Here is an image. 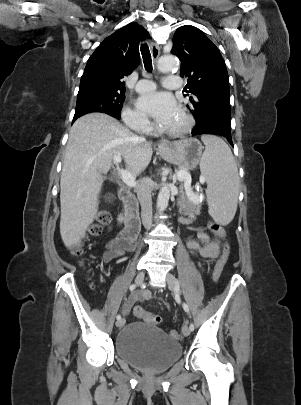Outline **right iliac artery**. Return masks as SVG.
I'll use <instances>...</instances> for the list:
<instances>
[{"label": "right iliac artery", "mask_w": 301, "mask_h": 405, "mask_svg": "<svg viewBox=\"0 0 301 405\" xmlns=\"http://www.w3.org/2000/svg\"><path fill=\"white\" fill-rule=\"evenodd\" d=\"M135 288H136V285H135V284H132V285L129 287V290L132 292V291L135 290ZM116 318H117V320L121 319V315L118 314V315L116 316Z\"/></svg>", "instance_id": "right-iliac-artery-1"}]
</instances>
